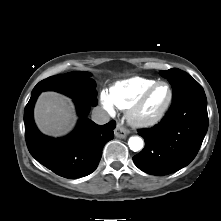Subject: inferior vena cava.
I'll return each instance as SVG.
<instances>
[{
	"label": "inferior vena cava",
	"instance_id": "obj_1",
	"mask_svg": "<svg viewBox=\"0 0 221 221\" xmlns=\"http://www.w3.org/2000/svg\"><path fill=\"white\" fill-rule=\"evenodd\" d=\"M91 118L96 124H100V125L106 124L110 120L109 114L101 108H95L92 111Z\"/></svg>",
	"mask_w": 221,
	"mask_h": 221
}]
</instances>
